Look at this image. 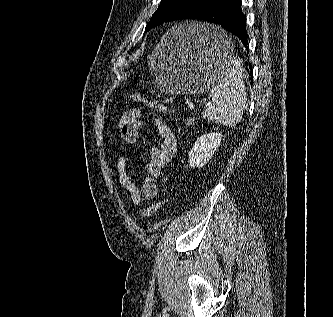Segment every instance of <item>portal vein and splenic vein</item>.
Returning <instances> with one entry per match:
<instances>
[{
    "instance_id": "portal-vein-and-splenic-vein-1",
    "label": "portal vein and splenic vein",
    "mask_w": 333,
    "mask_h": 317,
    "mask_svg": "<svg viewBox=\"0 0 333 317\" xmlns=\"http://www.w3.org/2000/svg\"><path fill=\"white\" fill-rule=\"evenodd\" d=\"M188 108L189 109H194L195 108V105L193 103H188Z\"/></svg>"
}]
</instances>
